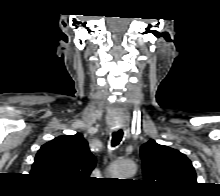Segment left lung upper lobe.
<instances>
[{
	"label": "left lung upper lobe",
	"instance_id": "left-lung-upper-lobe-1",
	"mask_svg": "<svg viewBox=\"0 0 220 196\" xmlns=\"http://www.w3.org/2000/svg\"><path fill=\"white\" fill-rule=\"evenodd\" d=\"M146 182L162 193H182L196 185L191 161L180 151L159 145L154 140L140 149Z\"/></svg>",
	"mask_w": 220,
	"mask_h": 196
}]
</instances>
